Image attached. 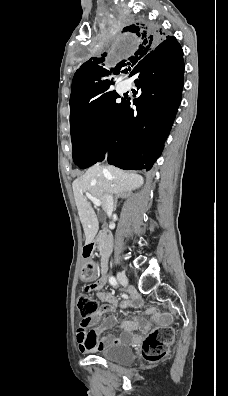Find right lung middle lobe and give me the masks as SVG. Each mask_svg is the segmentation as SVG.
<instances>
[{"mask_svg":"<svg viewBox=\"0 0 228 396\" xmlns=\"http://www.w3.org/2000/svg\"><path fill=\"white\" fill-rule=\"evenodd\" d=\"M119 97L115 91L104 93L79 115L70 118L73 161L78 167L84 169L104 159L108 137L123 102V99L121 103L115 102Z\"/></svg>","mask_w":228,"mask_h":396,"instance_id":"dd1d6c3e","label":"right lung middle lobe"}]
</instances>
